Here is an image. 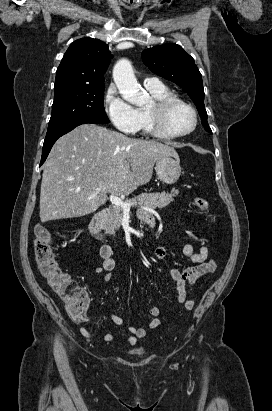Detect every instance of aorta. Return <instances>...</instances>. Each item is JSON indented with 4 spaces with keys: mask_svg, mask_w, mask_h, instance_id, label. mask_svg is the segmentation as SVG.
I'll list each match as a JSON object with an SVG mask.
<instances>
[{
    "mask_svg": "<svg viewBox=\"0 0 272 411\" xmlns=\"http://www.w3.org/2000/svg\"><path fill=\"white\" fill-rule=\"evenodd\" d=\"M114 82L122 95L129 103L141 106L148 98L134 75L131 63L126 59L119 60L113 68Z\"/></svg>",
    "mask_w": 272,
    "mask_h": 411,
    "instance_id": "762f6f07",
    "label": "aorta"
}]
</instances>
